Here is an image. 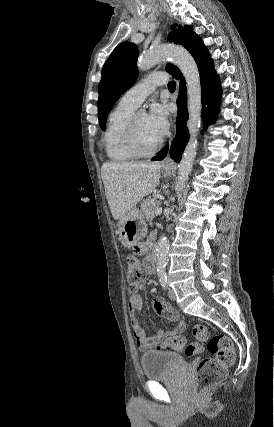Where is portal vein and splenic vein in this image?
Listing matches in <instances>:
<instances>
[{
    "label": "portal vein and splenic vein",
    "mask_w": 274,
    "mask_h": 427,
    "mask_svg": "<svg viewBox=\"0 0 274 427\" xmlns=\"http://www.w3.org/2000/svg\"><path fill=\"white\" fill-rule=\"evenodd\" d=\"M155 214L156 215L162 214V208H157V210H155Z\"/></svg>",
    "instance_id": "portal-vein-and-splenic-vein-1"
}]
</instances>
